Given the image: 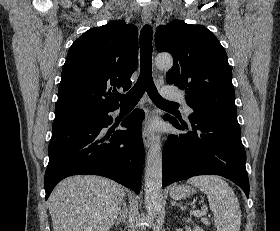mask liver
<instances>
[{"instance_id":"1","label":"liver","mask_w":280,"mask_h":231,"mask_svg":"<svg viewBox=\"0 0 280 231\" xmlns=\"http://www.w3.org/2000/svg\"><path fill=\"white\" fill-rule=\"evenodd\" d=\"M125 191L100 175H71L54 187L48 201L54 231H108Z\"/></svg>"}]
</instances>
